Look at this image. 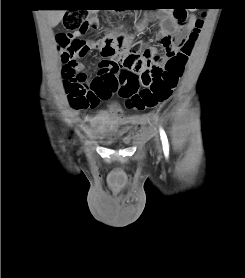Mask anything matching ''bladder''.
Listing matches in <instances>:
<instances>
[{
	"instance_id": "obj_1",
	"label": "bladder",
	"mask_w": 245,
	"mask_h": 278,
	"mask_svg": "<svg viewBox=\"0 0 245 278\" xmlns=\"http://www.w3.org/2000/svg\"><path fill=\"white\" fill-rule=\"evenodd\" d=\"M123 110L117 103L111 106V111L108 116L111 120H115L122 114ZM130 131L122 127H115L104 134V142L111 145L126 146L132 143L133 138L130 136Z\"/></svg>"
}]
</instances>
